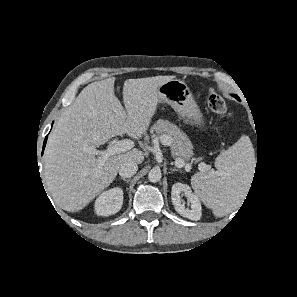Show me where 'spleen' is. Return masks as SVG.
Listing matches in <instances>:
<instances>
[{"mask_svg":"<svg viewBox=\"0 0 297 297\" xmlns=\"http://www.w3.org/2000/svg\"><path fill=\"white\" fill-rule=\"evenodd\" d=\"M254 166V148L250 139L242 136L216 158V175L196 173L191 183L203 203L221 217L235 210L244 197Z\"/></svg>","mask_w":297,"mask_h":297,"instance_id":"obj_1","label":"spleen"}]
</instances>
